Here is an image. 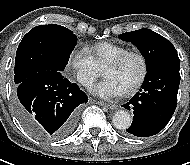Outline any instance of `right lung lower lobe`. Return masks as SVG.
I'll use <instances>...</instances> for the list:
<instances>
[{"instance_id":"right-lung-lower-lobe-1","label":"right lung lower lobe","mask_w":190,"mask_h":165,"mask_svg":"<svg viewBox=\"0 0 190 165\" xmlns=\"http://www.w3.org/2000/svg\"><path fill=\"white\" fill-rule=\"evenodd\" d=\"M87 101V95L60 71H42L17 85L15 110L34 137L49 141L73 132L79 105Z\"/></svg>"}]
</instances>
